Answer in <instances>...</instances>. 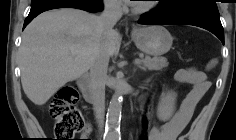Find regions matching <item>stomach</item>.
Masks as SVG:
<instances>
[{"label": "stomach", "instance_id": "1", "mask_svg": "<svg viewBox=\"0 0 236 140\" xmlns=\"http://www.w3.org/2000/svg\"><path fill=\"white\" fill-rule=\"evenodd\" d=\"M132 39L138 49L153 56L167 53L173 42L171 34L162 26L136 28L132 32Z\"/></svg>", "mask_w": 236, "mask_h": 140}]
</instances>
